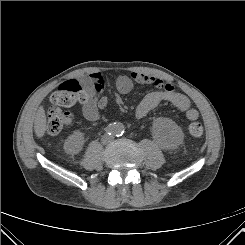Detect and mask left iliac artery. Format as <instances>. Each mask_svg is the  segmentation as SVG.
<instances>
[{
    "label": "left iliac artery",
    "instance_id": "1",
    "mask_svg": "<svg viewBox=\"0 0 245 245\" xmlns=\"http://www.w3.org/2000/svg\"><path fill=\"white\" fill-rule=\"evenodd\" d=\"M124 131H122V129H119L118 132H117V136H121L123 134Z\"/></svg>",
    "mask_w": 245,
    "mask_h": 245
}]
</instances>
